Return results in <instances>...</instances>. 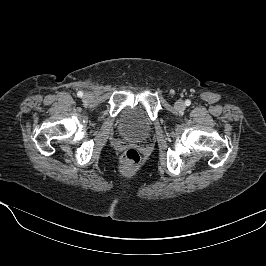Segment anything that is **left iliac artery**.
<instances>
[{
  "label": "left iliac artery",
  "instance_id": "44dca946",
  "mask_svg": "<svg viewBox=\"0 0 266 266\" xmlns=\"http://www.w3.org/2000/svg\"><path fill=\"white\" fill-rule=\"evenodd\" d=\"M185 104H186V106H189L191 104V101L190 100H186Z\"/></svg>",
  "mask_w": 266,
  "mask_h": 266
}]
</instances>
